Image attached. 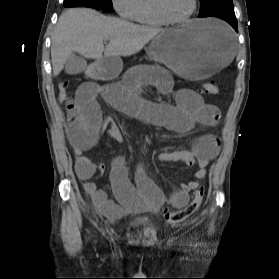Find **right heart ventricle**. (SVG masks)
<instances>
[{
  "label": "right heart ventricle",
  "mask_w": 279,
  "mask_h": 279,
  "mask_svg": "<svg viewBox=\"0 0 279 279\" xmlns=\"http://www.w3.org/2000/svg\"><path fill=\"white\" fill-rule=\"evenodd\" d=\"M133 20L144 26H163L166 24L159 16L154 0H138Z\"/></svg>",
  "instance_id": "obj_1"
}]
</instances>
